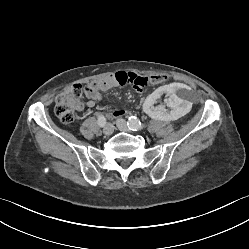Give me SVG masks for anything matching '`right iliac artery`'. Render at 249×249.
<instances>
[{"instance_id": "82829eb1", "label": "right iliac artery", "mask_w": 249, "mask_h": 249, "mask_svg": "<svg viewBox=\"0 0 249 249\" xmlns=\"http://www.w3.org/2000/svg\"><path fill=\"white\" fill-rule=\"evenodd\" d=\"M105 124H106V119H105V117L101 114V115H99V117H98V125L100 126V127H103V126H105Z\"/></svg>"}]
</instances>
